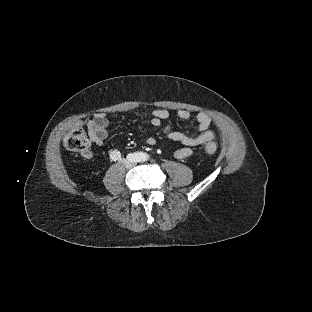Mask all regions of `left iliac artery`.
<instances>
[{"instance_id": "obj_1", "label": "left iliac artery", "mask_w": 312, "mask_h": 312, "mask_svg": "<svg viewBox=\"0 0 312 312\" xmlns=\"http://www.w3.org/2000/svg\"><path fill=\"white\" fill-rule=\"evenodd\" d=\"M135 158H137L138 162H141L145 160L146 155L144 153H136Z\"/></svg>"}]
</instances>
